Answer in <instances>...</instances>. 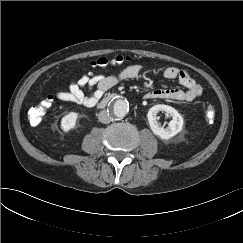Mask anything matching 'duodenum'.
Masks as SVG:
<instances>
[{"label":"duodenum","mask_w":243,"mask_h":243,"mask_svg":"<svg viewBox=\"0 0 243 243\" xmlns=\"http://www.w3.org/2000/svg\"><path fill=\"white\" fill-rule=\"evenodd\" d=\"M118 98L117 94H111L108 95L104 98H102L98 103H97V107L98 108H104L106 107L111 101H113L114 99Z\"/></svg>","instance_id":"obj_1"}]
</instances>
